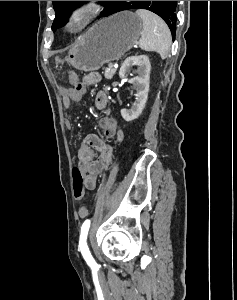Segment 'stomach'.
<instances>
[{
	"label": "stomach",
	"instance_id": "0dacf381",
	"mask_svg": "<svg viewBox=\"0 0 237 300\" xmlns=\"http://www.w3.org/2000/svg\"><path fill=\"white\" fill-rule=\"evenodd\" d=\"M142 29L143 23L135 13L122 11L95 23L74 43L66 59L55 57V63L61 67L67 61L78 71H98L104 63L117 61L129 51Z\"/></svg>",
	"mask_w": 237,
	"mask_h": 300
}]
</instances>
